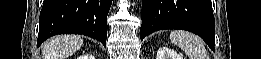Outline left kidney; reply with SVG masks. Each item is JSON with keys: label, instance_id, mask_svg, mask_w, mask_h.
Wrapping results in <instances>:
<instances>
[{"label": "left kidney", "instance_id": "1", "mask_svg": "<svg viewBox=\"0 0 261 59\" xmlns=\"http://www.w3.org/2000/svg\"><path fill=\"white\" fill-rule=\"evenodd\" d=\"M156 59H183L176 51L167 47L159 48Z\"/></svg>", "mask_w": 261, "mask_h": 59}]
</instances>
